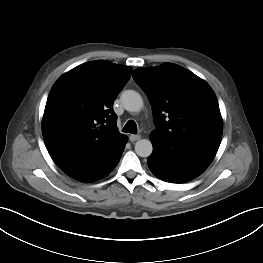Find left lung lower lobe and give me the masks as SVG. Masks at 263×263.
Segmentation results:
<instances>
[{
    "label": "left lung lower lobe",
    "mask_w": 263,
    "mask_h": 263,
    "mask_svg": "<svg viewBox=\"0 0 263 263\" xmlns=\"http://www.w3.org/2000/svg\"><path fill=\"white\" fill-rule=\"evenodd\" d=\"M153 153L147 164L158 178L173 183L190 181L210 165L218 148L195 142L172 141L150 135Z\"/></svg>",
    "instance_id": "obj_1"
}]
</instances>
